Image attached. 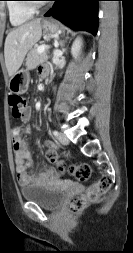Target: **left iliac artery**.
<instances>
[{"label": "left iliac artery", "mask_w": 133, "mask_h": 253, "mask_svg": "<svg viewBox=\"0 0 133 253\" xmlns=\"http://www.w3.org/2000/svg\"><path fill=\"white\" fill-rule=\"evenodd\" d=\"M53 135H54V136H58V135H59L58 131L54 130V131H53Z\"/></svg>", "instance_id": "1"}]
</instances>
